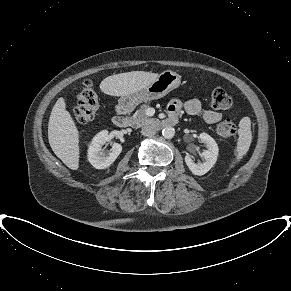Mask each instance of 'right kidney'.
I'll use <instances>...</instances> for the list:
<instances>
[{"instance_id": "right-kidney-1", "label": "right kidney", "mask_w": 291, "mask_h": 291, "mask_svg": "<svg viewBox=\"0 0 291 291\" xmlns=\"http://www.w3.org/2000/svg\"><path fill=\"white\" fill-rule=\"evenodd\" d=\"M108 131L99 132L93 139L88 148V161L96 169H105L109 167L119 156L122 151V146L118 143H112V148L106 154L102 151V146L109 142Z\"/></svg>"}]
</instances>
